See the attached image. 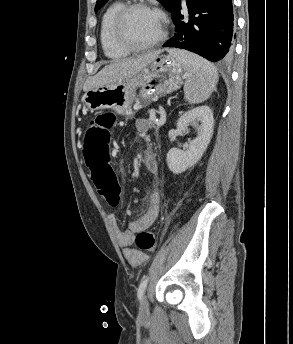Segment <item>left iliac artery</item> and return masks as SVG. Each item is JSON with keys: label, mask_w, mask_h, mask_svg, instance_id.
Here are the masks:
<instances>
[{"label": "left iliac artery", "mask_w": 293, "mask_h": 344, "mask_svg": "<svg viewBox=\"0 0 293 344\" xmlns=\"http://www.w3.org/2000/svg\"><path fill=\"white\" fill-rule=\"evenodd\" d=\"M148 280H149L148 277H145L138 287L137 296H138L139 300H141L143 295H144Z\"/></svg>", "instance_id": "left-iliac-artery-1"}]
</instances>
